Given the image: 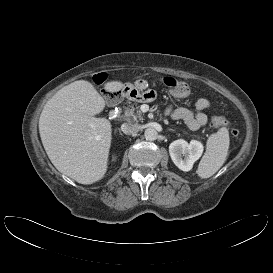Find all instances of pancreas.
<instances>
[{"mask_svg": "<svg viewBox=\"0 0 273 273\" xmlns=\"http://www.w3.org/2000/svg\"><path fill=\"white\" fill-rule=\"evenodd\" d=\"M124 117L130 122H139L143 120L142 113L137 105H129L124 110Z\"/></svg>", "mask_w": 273, "mask_h": 273, "instance_id": "obj_1", "label": "pancreas"}]
</instances>
